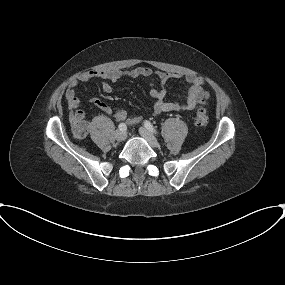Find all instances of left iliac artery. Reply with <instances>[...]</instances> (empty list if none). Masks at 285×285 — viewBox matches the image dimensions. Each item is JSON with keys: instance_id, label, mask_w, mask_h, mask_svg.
Returning a JSON list of instances; mask_svg holds the SVG:
<instances>
[{"instance_id": "44dca946", "label": "left iliac artery", "mask_w": 285, "mask_h": 285, "mask_svg": "<svg viewBox=\"0 0 285 285\" xmlns=\"http://www.w3.org/2000/svg\"><path fill=\"white\" fill-rule=\"evenodd\" d=\"M144 126L146 127L147 130H149L150 132L157 134V131L155 130V128L153 127V125L149 122V121H145L144 122Z\"/></svg>"}]
</instances>
